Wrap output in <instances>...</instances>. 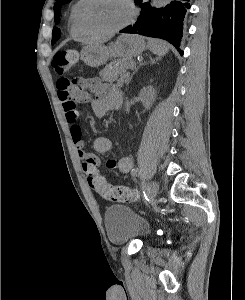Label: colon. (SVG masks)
Returning a JSON list of instances; mask_svg holds the SVG:
<instances>
[{"label":"colon","instance_id":"colon-1","mask_svg":"<svg viewBox=\"0 0 245 300\" xmlns=\"http://www.w3.org/2000/svg\"><path fill=\"white\" fill-rule=\"evenodd\" d=\"M78 61V54L74 50L60 51L53 58V67L58 74L65 73ZM69 84L79 87V81L72 80ZM90 187L101 197L118 202H136L139 200V192L136 189L123 185H111L99 174L88 176Z\"/></svg>","mask_w":245,"mask_h":300}]
</instances>
